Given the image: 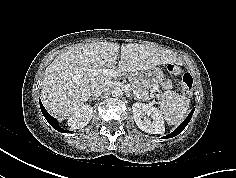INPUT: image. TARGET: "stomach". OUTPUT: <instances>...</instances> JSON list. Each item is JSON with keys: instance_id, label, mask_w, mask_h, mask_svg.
Wrapping results in <instances>:
<instances>
[{"instance_id": "obj_1", "label": "stomach", "mask_w": 236, "mask_h": 178, "mask_svg": "<svg viewBox=\"0 0 236 178\" xmlns=\"http://www.w3.org/2000/svg\"><path fill=\"white\" fill-rule=\"evenodd\" d=\"M138 79L145 89L151 90L164 80V73L160 68L154 67L145 71H140L138 73Z\"/></svg>"}]
</instances>
